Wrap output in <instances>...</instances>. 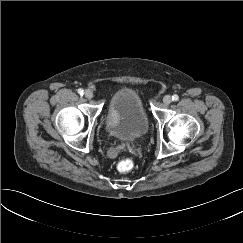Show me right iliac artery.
<instances>
[{
	"label": "right iliac artery",
	"instance_id": "right-iliac-artery-1",
	"mask_svg": "<svg viewBox=\"0 0 243 243\" xmlns=\"http://www.w3.org/2000/svg\"><path fill=\"white\" fill-rule=\"evenodd\" d=\"M78 93L82 96L84 94V90L83 89H78Z\"/></svg>",
	"mask_w": 243,
	"mask_h": 243
}]
</instances>
